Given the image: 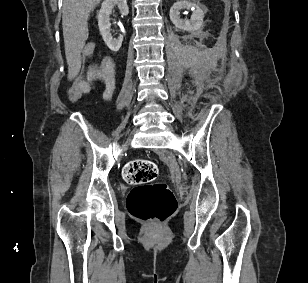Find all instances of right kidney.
<instances>
[{"label":"right kidney","instance_id":"1","mask_svg":"<svg viewBox=\"0 0 308 283\" xmlns=\"http://www.w3.org/2000/svg\"><path fill=\"white\" fill-rule=\"evenodd\" d=\"M115 6H118L122 16L128 15L129 9L126 0H105L102 3L101 9L97 16L100 34L105 44L113 52H117L120 49L123 41L122 35H120L118 38H113L110 33V15Z\"/></svg>","mask_w":308,"mask_h":283}]
</instances>
